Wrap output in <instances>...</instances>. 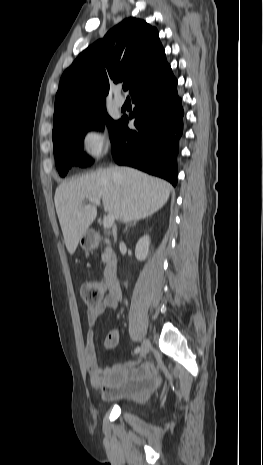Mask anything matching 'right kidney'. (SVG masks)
I'll return each mask as SVG.
<instances>
[{"label": "right kidney", "mask_w": 263, "mask_h": 465, "mask_svg": "<svg viewBox=\"0 0 263 465\" xmlns=\"http://www.w3.org/2000/svg\"><path fill=\"white\" fill-rule=\"evenodd\" d=\"M150 240L149 236L145 235L139 239L135 248V256L139 261H144L149 254Z\"/></svg>", "instance_id": "1"}]
</instances>
